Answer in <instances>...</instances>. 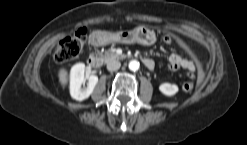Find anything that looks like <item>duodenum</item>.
I'll return each mask as SVG.
<instances>
[{"label":"duodenum","instance_id":"410a0bca","mask_svg":"<svg viewBox=\"0 0 247 145\" xmlns=\"http://www.w3.org/2000/svg\"><path fill=\"white\" fill-rule=\"evenodd\" d=\"M107 39V35L106 34H95L92 38V43L93 45H99L101 44L103 41H105ZM144 65L149 69V70H153L155 67L154 61L149 59V58H144L143 59ZM88 64L89 66H91L92 68H98L100 65L99 60L94 56V55H90L88 57Z\"/></svg>","mask_w":247,"mask_h":145}]
</instances>
